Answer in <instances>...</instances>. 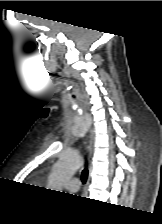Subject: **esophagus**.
<instances>
[{
  "label": "esophagus",
  "instance_id": "esophagus-1",
  "mask_svg": "<svg viewBox=\"0 0 162 224\" xmlns=\"http://www.w3.org/2000/svg\"><path fill=\"white\" fill-rule=\"evenodd\" d=\"M88 151H89V169L91 170L93 155H94V133L92 130L90 131V136H89ZM89 180L90 178H88L87 185L89 184Z\"/></svg>",
  "mask_w": 162,
  "mask_h": 224
}]
</instances>
